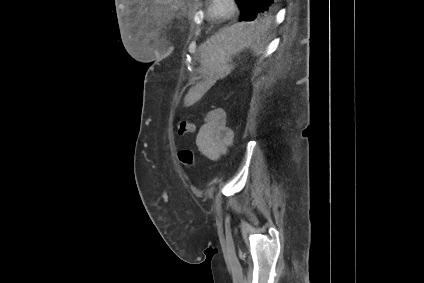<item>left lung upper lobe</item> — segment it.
<instances>
[{
	"mask_svg": "<svg viewBox=\"0 0 424 283\" xmlns=\"http://www.w3.org/2000/svg\"><path fill=\"white\" fill-rule=\"evenodd\" d=\"M263 0H236L241 9L240 21H252L255 18H265L269 13L259 14L261 2Z\"/></svg>",
	"mask_w": 424,
	"mask_h": 283,
	"instance_id": "5c2ea615",
	"label": "left lung upper lobe"
}]
</instances>
